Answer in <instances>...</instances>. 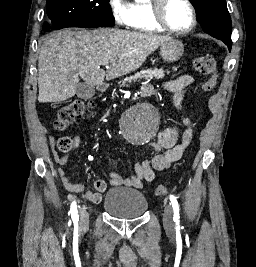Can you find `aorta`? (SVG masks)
<instances>
[{
  "label": "aorta",
  "mask_w": 256,
  "mask_h": 267,
  "mask_svg": "<svg viewBox=\"0 0 256 267\" xmlns=\"http://www.w3.org/2000/svg\"><path fill=\"white\" fill-rule=\"evenodd\" d=\"M158 108H151L148 101H137L136 108H129L128 117H120L122 127H158ZM128 143H149L157 138L159 128H122Z\"/></svg>",
  "instance_id": "1"
}]
</instances>
